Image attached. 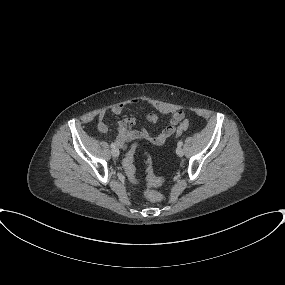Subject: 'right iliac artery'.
<instances>
[{
    "label": "right iliac artery",
    "instance_id": "right-iliac-artery-1",
    "mask_svg": "<svg viewBox=\"0 0 285 285\" xmlns=\"http://www.w3.org/2000/svg\"><path fill=\"white\" fill-rule=\"evenodd\" d=\"M111 148L114 149L116 147L115 143H111Z\"/></svg>",
    "mask_w": 285,
    "mask_h": 285
}]
</instances>
